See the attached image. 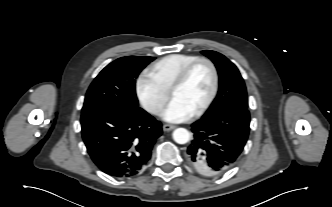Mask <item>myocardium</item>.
Listing matches in <instances>:
<instances>
[{"instance_id": "f54148a6", "label": "myocardium", "mask_w": 332, "mask_h": 207, "mask_svg": "<svg viewBox=\"0 0 332 207\" xmlns=\"http://www.w3.org/2000/svg\"><path fill=\"white\" fill-rule=\"evenodd\" d=\"M204 63L206 64L212 73V88L211 91L207 97V99L204 101V103L193 113V116H199L203 114L213 103L219 89V83H220V78H219V72L218 69L215 65V63L206 57H198L197 59L193 60L189 64H187L178 74L176 79L174 80L173 84L171 85V88L169 90L170 96H172L173 92L176 91L178 88H180L187 80L189 74L191 71L198 65Z\"/></svg>"}]
</instances>
